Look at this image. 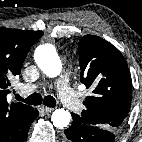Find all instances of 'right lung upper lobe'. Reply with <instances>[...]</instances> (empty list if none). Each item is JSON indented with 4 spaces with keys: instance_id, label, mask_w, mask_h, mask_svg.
Here are the masks:
<instances>
[{
    "instance_id": "obj_1",
    "label": "right lung upper lobe",
    "mask_w": 142,
    "mask_h": 142,
    "mask_svg": "<svg viewBox=\"0 0 142 142\" xmlns=\"http://www.w3.org/2000/svg\"><path fill=\"white\" fill-rule=\"evenodd\" d=\"M41 31L0 28V142H15L32 118L34 108L22 103H8L9 79L21 72L32 45Z\"/></svg>"
}]
</instances>
